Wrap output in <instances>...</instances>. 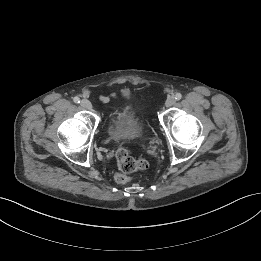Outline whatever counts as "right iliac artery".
I'll return each mask as SVG.
<instances>
[{"instance_id": "obj_1", "label": "right iliac artery", "mask_w": 261, "mask_h": 261, "mask_svg": "<svg viewBox=\"0 0 261 261\" xmlns=\"http://www.w3.org/2000/svg\"><path fill=\"white\" fill-rule=\"evenodd\" d=\"M74 102L75 103H80V98L79 97H74Z\"/></svg>"}]
</instances>
